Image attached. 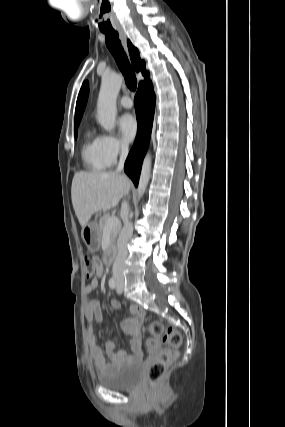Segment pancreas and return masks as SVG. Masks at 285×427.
Segmentation results:
<instances>
[{
    "label": "pancreas",
    "mask_w": 285,
    "mask_h": 427,
    "mask_svg": "<svg viewBox=\"0 0 285 427\" xmlns=\"http://www.w3.org/2000/svg\"><path fill=\"white\" fill-rule=\"evenodd\" d=\"M107 219H108V215H107V214H104V215L100 218V221H99V224H98V231H99V233H100V236H102V235H103V232H104L105 226H106V224H107ZM119 231H120V224H119V225H117V226H115V227H113V228L110 230V243H111V244H113V243L115 242V240H116V238H117V235H118Z\"/></svg>",
    "instance_id": "cf45deb5"
}]
</instances>
